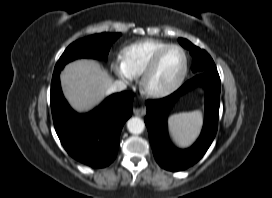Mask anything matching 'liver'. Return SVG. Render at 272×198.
Wrapping results in <instances>:
<instances>
[{
  "mask_svg": "<svg viewBox=\"0 0 272 198\" xmlns=\"http://www.w3.org/2000/svg\"><path fill=\"white\" fill-rule=\"evenodd\" d=\"M64 95L78 112L97 105L112 85L108 71L94 60L81 59L66 65L60 75Z\"/></svg>",
  "mask_w": 272,
  "mask_h": 198,
  "instance_id": "1",
  "label": "liver"
}]
</instances>
